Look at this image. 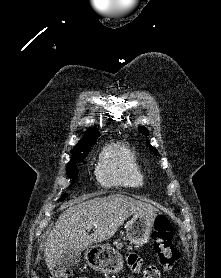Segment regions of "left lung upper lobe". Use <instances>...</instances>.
Here are the masks:
<instances>
[{
  "label": "left lung upper lobe",
  "mask_w": 221,
  "mask_h": 278,
  "mask_svg": "<svg viewBox=\"0 0 221 278\" xmlns=\"http://www.w3.org/2000/svg\"><path fill=\"white\" fill-rule=\"evenodd\" d=\"M139 130H140L144 135H146V136L149 135V132H148V130H147L146 128H144V127H139ZM147 144H148V146L150 147V149L154 152L155 155H158V154H159L158 151H157L154 147H152V146L150 145L149 141H147Z\"/></svg>",
  "instance_id": "5c2ea615"
}]
</instances>
